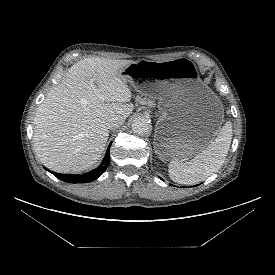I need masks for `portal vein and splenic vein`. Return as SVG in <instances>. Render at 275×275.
<instances>
[{"label": "portal vein and splenic vein", "mask_w": 275, "mask_h": 275, "mask_svg": "<svg viewBox=\"0 0 275 275\" xmlns=\"http://www.w3.org/2000/svg\"><path fill=\"white\" fill-rule=\"evenodd\" d=\"M90 87L92 88V90L94 91V93L97 95V97L99 98V100L101 102L105 101L104 96L98 91V89L96 88V86L93 83V80L90 81Z\"/></svg>", "instance_id": "obj_1"}]
</instances>
